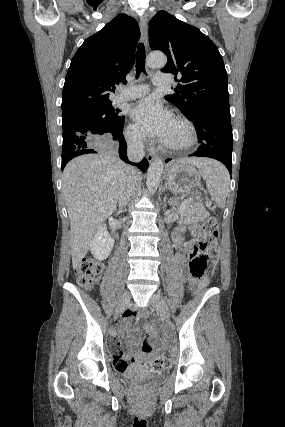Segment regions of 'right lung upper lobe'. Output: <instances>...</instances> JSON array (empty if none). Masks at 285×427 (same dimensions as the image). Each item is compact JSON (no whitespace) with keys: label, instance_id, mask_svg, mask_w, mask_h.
<instances>
[{"label":"right lung upper lobe","instance_id":"obj_1","mask_svg":"<svg viewBox=\"0 0 285 427\" xmlns=\"http://www.w3.org/2000/svg\"><path fill=\"white\" fill-rule=\"evenodd\" d=\"M139 37L136 20L120 14L83 42L65 77L62 116L111 103L110 93L133 66Z\"/></svg>","mask_w":285,"mask_h":427}]
</instances>
